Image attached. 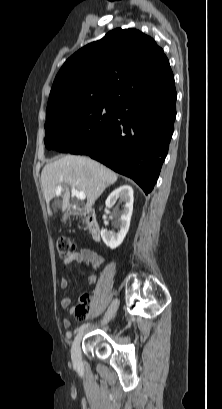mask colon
<instances>
[{
  "label": "colon",
  "instance_id": "5ec220e1",
  "mask_svg": "<svg viewBox=\"0 0 222 409\" xmlns=\"http://www.w3.org/2000/svg\"><path fill=\"white\" fill-rule=\"evenodd\" d=\"M75 249V243L71 239L60 237L57 240V252L62 260L66 261L68 258L73 256L75 254ZM89 309V302L84 300L76 306L74 314L78 319H84L88 315Z\"/></svg>",
  "mask_w": 222,
  "mask_h": 409
}]
</instances>
